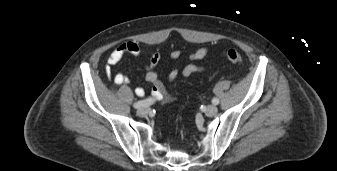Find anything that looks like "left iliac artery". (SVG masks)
<instances>
[{
    "mask_svg": "<svg viewBox=\"0 0 337 171\" xmlns=\"http://www.w3.org/2000/svg\"><path fill=\"white\" fill-rule=\"evenodd\" d=\"M212 103H213L214 105H218V104H219V99H218V98H213V99H212Z\"/></svg>",
    "mask_w": 337,
    "mask_h": 171,
    "instance_id": "obj_1",
    "label": "left iliac artery"
}]
</instances>
